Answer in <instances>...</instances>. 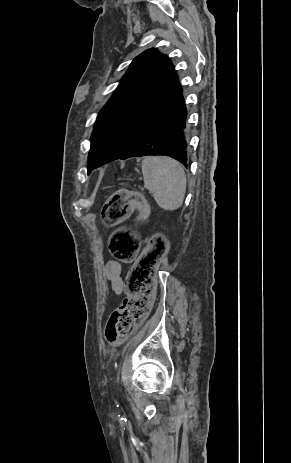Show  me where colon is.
I'll return each instance as SVG.
<instances>
[{"label": "colon", "instance_id": "colon-1", "mask_svg": "<svg viewBox=\"0 0 291 463\" xmlns=\"http://www.w3.org/2000/svg\"><path fill=\"white\" fill-rule=\"evenodd\" d=\"M134 209L138 211L140 219L149 214V206L141 194L119 189L107 199L102 216L106 223L115 224L127 218ZM167 247V241L162 234L152 235L130 269L125 281L126 298L112 312L105 328L108 343L122 342L131 333L134 325L150 312L154 275ZM109 250L118 261L129 263L135 259L139 250L138 237L132 230L119 227L110 236Z\"/></svg>", "mask_w": 291, "mask_h": 463}]
</instances>
